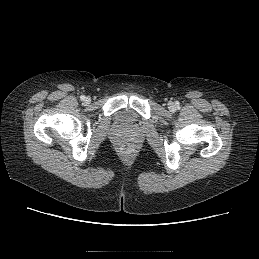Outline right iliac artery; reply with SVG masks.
<instances>
[{
  "label": "right iliac artery",
  "mask_w": 259,
  "mask_h": 259,
  "mask_svg": "<svg viewBox=\"0 0 259 259\" xmlns=\"http://www.w3.org/2000/svg\"><path fill=\"white\" fill-rule=\"evenodd\" d=\"M80 99H81L82 101L85 100V96H84V95L80 96Z\"/></svg>",
  "instance_id": "82829eb1"
}]
</instances>
